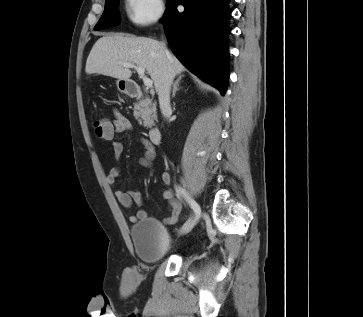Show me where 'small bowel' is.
<instances>
[{
	"label": "small bowel",
	"instance_id": "obj_1",
	"mask_svg": "<svg viewBox=\"0 0 363 317\" xmlns=\"http://www.w3.org/2000/svg\"><path fill=\"white\" fill-rule=\"evenodd\" d=\"M115 119L112 122H109V128L107 130H103L101 132H96V134L103 140L110 142L112 151L115 157L118 159L123 153V144L121 141L115 139V135L118 133H125L131 130V123L129 119L119 113L118 111L114 112ZM141 142L145 147V156L141 159L142 165L146 167H150L152 165V161L155 157V149L154 145L147 139L142 138ZM120 175V169L118 167H113L108 176L107 182L110 185H115L117 178ZM162 183L165 188L162 192V198L169 203L168 210L170 212V216L164 219L166 224H173L177 221L180 211L181 204L174 197L173 191L169 187L171 182V176L168 172H163L161 175ZM115 197L117 201L126 209H130L133 204L141 205L143 202V197L140 191L129 189V190H117L115 192ZM149 215L144 211H138L135 215H130L129 220L131 222H136L138 219L148 218Z\"/></svg>",
	"mask_w": 363,
	"mask_h": 317
}]
</instances>
